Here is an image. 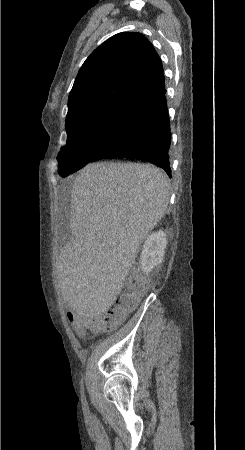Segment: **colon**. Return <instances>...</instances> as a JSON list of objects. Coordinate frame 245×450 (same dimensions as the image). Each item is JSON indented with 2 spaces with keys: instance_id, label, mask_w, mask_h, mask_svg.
Instances as JSON below:
<instances>
[{
  "instance_id": "obj_1",
  "label": "colon",
  "mask_w": 245,
  "mask_h": 450,
  "mask_svg": "<svg viewBox=\"0 0 245 450\" xmlns=\"http://www.w3.org/2000/svg\"><path fill=\"white\" fill-rule=\"evenodd\" d=\"M124 285L125 291L118 296L110 308L83 319L78 328L81 331L112 329L121 324L128 314L135 309L138 301L147 290L137 274L131 275Z\"/></svg>"
}]
</instances>
